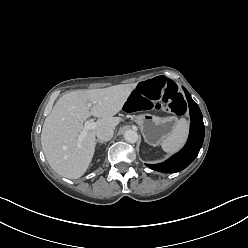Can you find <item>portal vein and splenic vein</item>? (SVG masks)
Instances as JSON below:
<instances>
[{"label":"portal vein and splenic vein","mask_w":248,"mask_h":248,"mask_svg":"<svg viewBox=\"0 0 248 248\" xmlns=\"http://www.w3.org/2000/svg\"><path fill=\"white\" fill-rule=\"evenodd\" d=\"M91 106H92L91 103H88L87 104V107L88 108H91ZM96 127H97V123L96 122H93L92 120H87L84 123L83 130H82L81 134L78 136V146L81 145V142L86 137L87 132L90 131V130L95 129Z\"/></svg>","instance_id":"1"}]
</instances>
